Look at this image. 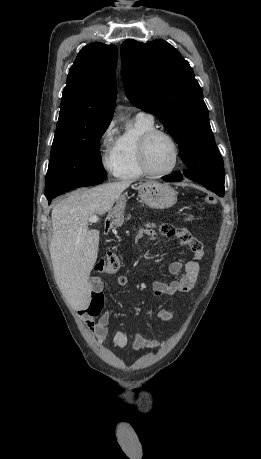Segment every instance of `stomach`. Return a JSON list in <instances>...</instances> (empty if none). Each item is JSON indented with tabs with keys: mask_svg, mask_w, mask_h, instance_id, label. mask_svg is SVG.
<instances>
[{
	"mask_svg": "<svg viewBox=\"0 0 261 459\" xmlns=\"http://www.w3.org/2000/svg\"><path fill=\"white\" fill-rule=\"evenodd\" d=\"M138 192L141 200L152 209H168L177 202V192L168 184L148 181L139 185ZM115 212L122 215L118 205Z\"/></svg>",
	"mask_w": 261,
	"mask_h": 459,
	"instance_id": "1",
	"label": "stomach"
}]
</instances>
